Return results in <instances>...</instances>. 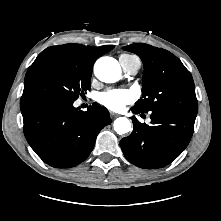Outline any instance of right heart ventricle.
Wrapping results in <instances>:
<instances>
[{"instance_id":"1","label":"right heart ventricle","mask_w":221,"mask_h":221,"mask_svg":"<svg viewBox=\"0 0 221 221\" xmlns=\"http://www.w3.org/2000/svg\"><path fill=\"white\" fill-rule=\"evenodd\" d=\"M123 55L127 57H134L133 55H128V54H123Z\"/></svg>"}]
</instances>
